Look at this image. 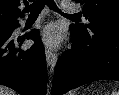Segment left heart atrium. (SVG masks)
<instances>
[{
  "label": "left heart atrium",
  "instance_id": "39dd6f15",
  "mask_svg": "<svg viewBox=\"0 0 119 95\" xmlns=\"http://www.w3.org/2000/svg\"><path fill=\"white\" fill-rule=\"evenodd\" d=\"M41 40L49 47H57L62 40V28L58 24H50L41 32Z\"/></svg>",
  "mask_w": 119,
  "mask_h": 95
}]
</instances>
